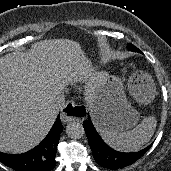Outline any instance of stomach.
Wrapping results in <instances>:
<instances>
[{
	"mask_svg": "<svg viewBox=\"0 0 171 171\" xmlns=\"http://www.w3.org/2000/svg\"><path fill=\"white\" fill-rule=\"evenodd\" d=\"M87 63L89 61L86 59ZM90 81L95 86L93 95L99 105L96 117L100 122L120 131L133 128L140 119L139 112L128 102L122 81L105 71L94 70Z\"/></svg>",
	"mask_w": 171,
	"mask_h": 171,
	"instance_id": "0dacf381",
	"label": "stomach"
}]
</instances>
